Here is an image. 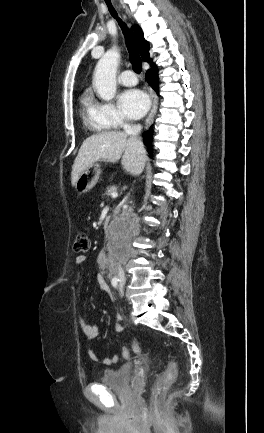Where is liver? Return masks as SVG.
I'll use <instances>...</instances> for the list:
<instances>
[{
  "mask_svg": "<svg viewBox=\"0 0 264 433\" xmlns=\"http://www.w3.org/2000/svg\"><path fill=\"white\" fill-rule=\"evenodd\" d=\"M120 159L126 172L132 175L140 174L146 162V151L142 142L135 137H128L122 131L101 132L88 137L81 145L72 167V186H75L82 172L93 163H115Z\"/></svg>",
  "mask_w": 264,
  "mask_h": 433,
  "instance_id": "obj_1",
  "label": "liver"
}]
</instances>
